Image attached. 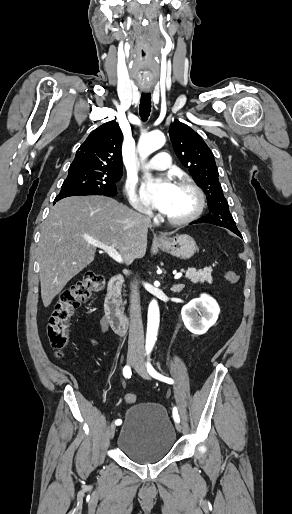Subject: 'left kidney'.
Returning a JSON list of instances; mask_svg holds the SVG:
<instances>
[{
	"instance_id": "obj_1",
	"label": "left kidney",
	"mask_w": 292,
	"mask_h": 514,
	"mask_svg": "<svg viewBox=\"0 0 292 514\" xmlns=\"http://www.w3.org/2000/svg\"><path fill=\"white\" fill-rule=\"evenodd\" d=\"M219 314L220 308L216 300L207 294H201V298L191 300L181 310L182 320L187 330L196 336L206 334L217 322Z\"/></svg>"
}]
</instances>
